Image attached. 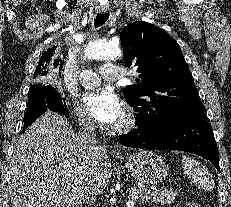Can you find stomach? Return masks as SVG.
Returning a JSON list of instances; mask_svg holds the SVG:
<instances>
[{"mask_svg": "<svg viewBox=\"0 0 231 207\" xmlns=\"http://www.w3.org/2000/svg\"><path fill=\"white\" fill-rule=\"evenodd\" d=\"M125 165L131 175L141 184L153 185L166 178L169 166L158 154L139 150L126 157Z\"/></svg>", "mask_w": 231, "mask_h": 207, "instance_id": "obj_1", "label": "stomach"}]
</instances>
